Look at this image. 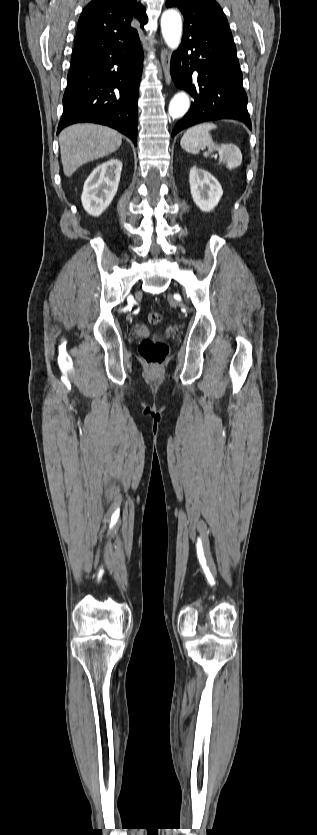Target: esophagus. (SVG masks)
Masks as SVG:
<instances>
[{
	"label": "esophagus",
	"mask_w": 317,
	"mask_h": 835,
	"mask_svg": "<svg viewBox=\"0 0 317 835\" xmlns=\"http://www.w3.org/2000/svg\"><path fill=\"white\" fill-rule=\"evenodd\" d=\"M161 65L165 77V82L167 85L171 83V74H170V54L168 50L164 49L161 52Z\"/></svg>",
	"instance_id": "34e87169"
}]
</instances>
